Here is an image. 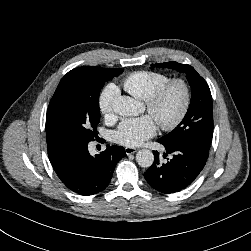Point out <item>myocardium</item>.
Returning <instances> with one entry per match:
<instances>
[{
    "mask_svg": "<svg viewBox=\"0 0 251 251\" xmlns=\"http://www.w3.org/2000/svg\"><path fill=\"white\" fill-rule=\"evenodd\" d=\"M174 88H179L181 90L183 96L182 104L178 113L172 120L157 121L159 127L164 131H171L177 128L186 117L192 99L189 84L182 78L169 80L145 100L146 110L149 114H152L158 108L163 98Z\"/></svg>",
    "mask_w": 251,
    "mask_h": 251,
    "instance_id": "f54148a6",
    "label": "myocardium"
}]
</instances>
